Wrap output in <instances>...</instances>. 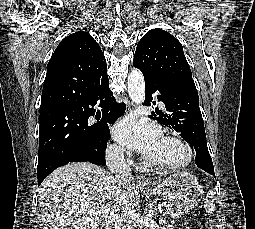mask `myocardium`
<instances>
[{"instance_id":"f54148a6","label":"myocardium","mask_w":255,"mask_h":229,"mask_svg":"<svg viewBox=\"0 0 255 229\" xmlns=\"http://www.w3.org/2000/svg\"><path fill=\"white\" fill-rule=\"evenodd\" d=\"M163 138L180 146L184 151V158L178 162H165L145 156L144 157L145 164L163 170H178L188 166L192 162L194 157L193 149L185 139L172 133L164 134Z\"/></svg>"}]
</instances>
